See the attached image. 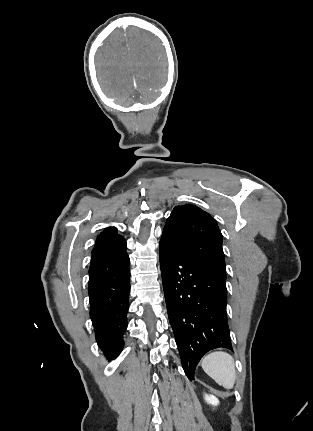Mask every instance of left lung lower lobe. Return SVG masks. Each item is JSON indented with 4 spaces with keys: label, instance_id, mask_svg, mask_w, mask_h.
Returning <instances> with one entry per match:
<instances>
[{
    "label": "left lung lower lobe",
    "instance_id": "left-lung-lower-lobe-1",
    "mask_svg": "<svg viewBox=\"0 0 313 431\" xmlns=\"http://www.w3.org/2000/svg\"><path fill=\"white\" fill-rule=\"evenodd\" d=\"M160 265L167 311L188 379L210 350L232 349L226 314V278L160 240Z\"/></svg>",
    "mask_w": 313,
    "mask_h": 431
}]
</instances>
